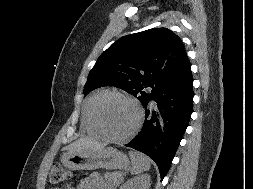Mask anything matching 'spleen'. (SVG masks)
I'll return each instance as SVG.
<instances>
[{
  "label": "spleen",
  "mask_w": 253,
  "mask_h": 189,
  "mask_svg": "<svg viewBox=\"0 0 253 189\" xmlns=\"http://www.w3.org/2000/svg\"><path fill=\"white\" fill-rule=\"evenodd\" d=\"M129 156L132 162L131 174H140L150 169L151 160L148 156L137 151H130Z\"/></svg>",
  "instance_id": "obj_1"
}]
</instances>
